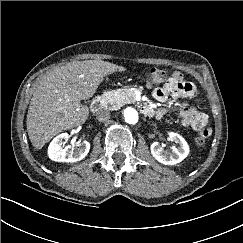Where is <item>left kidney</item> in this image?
<instances>
[{
	"mask_svg": "<svg viewBox=\"0 0 243 243\" xmlns=\"http://www.w3.org/2000/svg\"><path fill=\"white\" fill-rule=\"evenodd\" d=\"M169 138L178 143L179 147L174 148L171 152L164 150V148L158 143H152L150 149L152 156L160 163L164 165H175L183 161L189 154V145L185 139L177 133L169 132Z\"/></svg>",
	"mask_w": 243,
	"mask_h": 243,
	"instance_id": "obj_1",
	"label": "left kidney"
}]
</instances>
